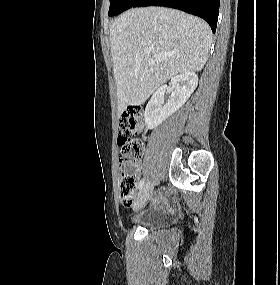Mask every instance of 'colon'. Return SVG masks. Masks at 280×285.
<instances>
[{
	"label": "colon",
	"mask_w": 280,
	"mask_h": 285,
	"mask_svg": "<svg viewBox=\"0 0 280 285\" xmlns=\"http://www.w3.org/2000/svg\"><path fill=\"white\" fill-rule=\"evenodd\" d=\"M144 133L145 120L141 111L131 109L121 116L118 135L120 199L125 206H130L135 200L137 176L133 163L142 157Z\"/></svg>",
	"instance_id": "1"
}]
</instances>
